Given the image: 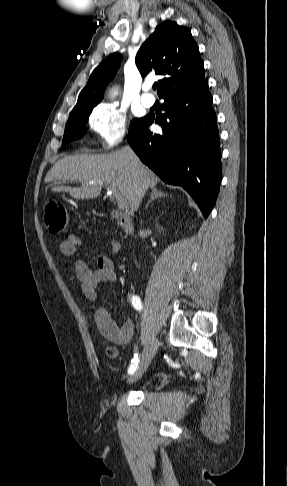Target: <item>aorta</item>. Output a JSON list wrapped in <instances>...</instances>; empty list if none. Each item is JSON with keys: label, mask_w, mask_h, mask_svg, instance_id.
<instances>
[{"label": "aorta", "mask_w": 287, "mask_h": 486, "mask_svg": "<svg viewBox=\"0 0 287 486\" xmlns=\"http://www.w3.org/2000/svg\"><path fill=\"white\" fill-rule=\"evenodd\" d=\"M116 95H117V91H116V90H113V91L110 93V96H111L112 98H114Z\"/></svg>", "instance_id": "1"}]
</instances>
